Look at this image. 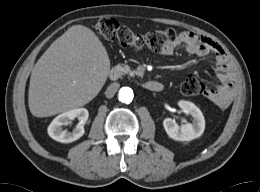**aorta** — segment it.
Returning a JSON list of instances; mask_svg holds the SVG:
<instances>
[{"instance_id":"obj_1","label":"aorta","mask_w":260,"mask_h":192,"mask_svg":"<svg viewBox=\"0 0 260 192\" xmlns=\"http://www.w3.org/2000/svg\"><path fill=\"white\" fill-rule=\"evenodd\" d=\"M134 97L133 90L129 87H122L119 90L118 98L122 103L129 104L132 102Z\"/></svg>"}]
</instances>
